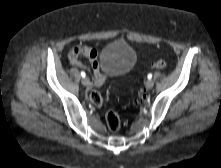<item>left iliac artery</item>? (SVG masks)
<instances>
[{
    "mask_svg": "<svg viewBox=\"0 0 221 168\" xmlns=\"http://www.w3.org/2000/svg\"><path fill=\"white\" fill-rule=\"evenodd\" d=\"M147 78L150 80L152 78V74H148Z\"/></svg>",
    "mask_w": 221,
    "mask_h": 168,
    "instance_id": "44dca946",
    "label": "left iliac artery"
}]
</instances>
